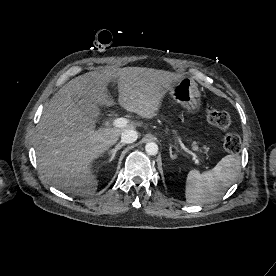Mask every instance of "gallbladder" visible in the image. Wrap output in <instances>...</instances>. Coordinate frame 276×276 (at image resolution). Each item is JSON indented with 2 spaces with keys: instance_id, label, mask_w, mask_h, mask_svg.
<instances>
[{
  "instance_id": "1",
  "label": "gallbladder",
  "mask_w": 276,
  "mask_h": 276,
  "mask_svg": "<svg viewBox=\"0 0 276 276\" xmlns=\"http://www.w3.org/2000/svg\"><path fill=\"white\" fill-rule=\"evenodd\" d=\"M73 101L77 104L82 110L88 113L93 118H97L100 115L99 107L81 97H73Z\"/></svg>"
}]
</instances>
